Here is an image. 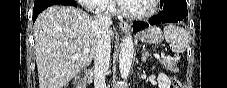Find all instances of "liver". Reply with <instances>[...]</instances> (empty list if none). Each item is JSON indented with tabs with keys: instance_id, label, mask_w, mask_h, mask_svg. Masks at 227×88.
Here are the masks:
<instances>
[{
	"instance_id": "liver-1",
	"label": "liver",
	"mask_w": 227,
	"mask_h": 88,
	"mask_svg": "<svg viewBox=\"0 0 227 88\" xmlns=\"http://www.w3.org/2000/svg\"><path fill=\"white\" fill-rule=\"evenodd\" d=\"M95 24L86 12L71 6L55 5L40 13L34 24L39 88H63L92 62ZM109 35L114 37L111 29ZM76 53L78 58L72 60Z\"/></svg>"
}]
</instances>
